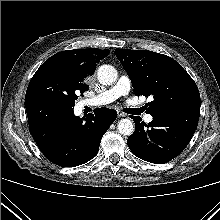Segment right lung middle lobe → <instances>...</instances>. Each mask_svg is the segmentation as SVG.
Returning <instances> with one entry per match:
<instances>
[{
    "label": "right lung middle lobe",
    "instance_id": "right-lung-middle-lobe-1",
    "mask_svg": "<svg viewBox=\"0 0 220 220\" xmlns=\"http://www.w3.org/2000/svg\"><path fill=\"white\" fill-rule=\"evenodd\" d=\"M86 77L67 67L41 65L28 85L25 99H52L74 107L78 94L89 89Z\"/></svg>",
    "mask_w": 220,
    "mask_h": 220
}]
</instances>
